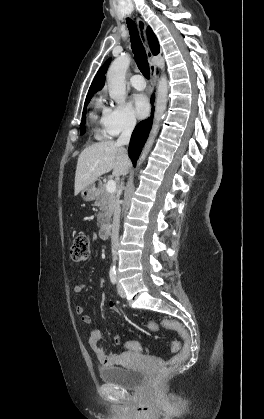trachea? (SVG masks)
<instances>
[{
  "mask_svg": "<svg viewBox=\"0 0 264 419\" xmlns=\"http://www.w3.org/2000/svg\"><path fill=\"white\" fill-rule=\"evenodd\" d=\"M127 25L129 29L131 46L136 59V63L142 72V74L149 79L150 78V69L147 61V55L144 49V46L139 37L137 26L131 19H127Z\"/></svg>",
  "mask_w": 264,
  "mask_h": 419,
  "instance_id": "1",
  "label": "trachea"
}]
</instances>
